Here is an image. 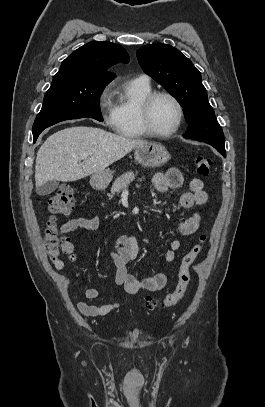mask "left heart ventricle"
<instances>
[{"instance_id": "left-heart-ventricle-1", "label": "left heart ventricle", "mask_w": 265, "mask_h": 407, "mask_svg": "<svg viewBox=\"0 0 265 407\" xmlns=\"http://www.w3.org/2000/svg\"><path fill=\"white\" fill-rule=\"evenodd\" d=\"M178 109L168 97H158L151 107V123L155 130L165 132L174 127Z\"/></svg>"}]
</instances>
